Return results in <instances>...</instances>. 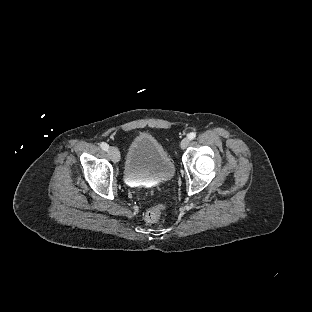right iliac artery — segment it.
<instances>
[{"instance_id": "82829eb1", "label": "right iliac artery", "mask_w": 312, "mask_h": 312, "mask_svg": "<svg viewBox=\"0 0 312 312\" xmlns=\"http://www.w3.org/2000/svg\"><path fill=\"white\" fill-rule=\"evenodd\" d=\"M100 147H101L103 150L107 151L108 148H109V145L106 144L105 142H102V143L100 144Z\"/></svg>"}]
</instances>
